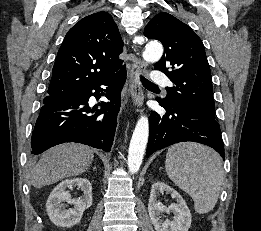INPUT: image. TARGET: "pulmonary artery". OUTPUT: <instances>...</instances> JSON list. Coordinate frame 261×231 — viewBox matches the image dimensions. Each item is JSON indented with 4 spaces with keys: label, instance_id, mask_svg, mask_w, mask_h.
<instances>
[{
    "label": "pulmonary artery",
    "instance_id": "1",
    "mask_svg": "<svg viewBox=\"0 0 261 231\" xmlns=\"http://www.w3.org/2000/svg\"><path fill=\"white\" fill-rule=\"evenodd\" d=\"M151 81L155 85H161V86L171 85V82L169 81L168 77L159 71L153 72V74L151 75Z\"/></svg>",
    "mask_w": 261,
    "mask_h": 231
}]
</instances>
